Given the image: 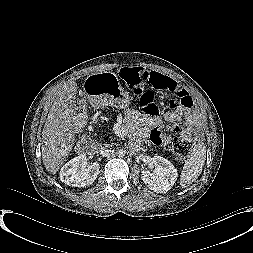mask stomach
I'll return each instance as SVG.
<instances>
[{
	"mask_svg": "<svg viewBox=\"0 0 253 253\" xmlns=\"http://www.w3.org/2000/svg\"><path fill=\"white\" fill-rule=\"evenodd\" d=\"M88 100L96 106H114L125 109L130 104V96L121 87L118 78L110 72L92 74L83 84Z\"/></svg>",
	"mask_w": 253,
	"mask_h": 253,
	"instance_id": "1",
	"label": "stomach"
}]
</instances>
